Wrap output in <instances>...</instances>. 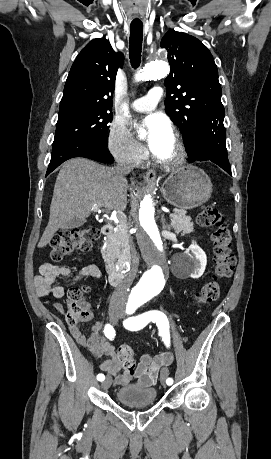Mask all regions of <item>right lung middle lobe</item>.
<instances>
[{"mask_svg": "<svg viewBox=\"0 0 271 459\" xmlns=\"http://www.w3.org/2000/svg\"><path fill=\"white\" fill-rule=\"evenodd\" d=\"M113 114L105 111L59 112L53 147L72 140L107 143V125Z\"/></svg>", "mask_w": 271, "mask_h": 459, "instance_id": "dd1d6c3e", "label": "right lung middle lobe"}]
</instances>
